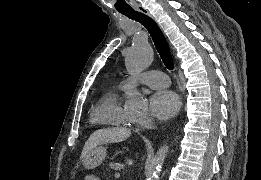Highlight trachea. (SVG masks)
<instances>
[{
  "instance_id": "1",
  "label": "trachea",
  "mask_w": 261,
  "mask_h": 180,
  "mask_svg": "<svg viewBox=\"0 0 261 180\" xmlns=\"http://www.w3.org/2000/svg\"><path fill=\"white\" fill-rule=\"evenodd\" d=\"M120 13L130 18L131 20H135L136 22L141 23V25H143L148 30L164 65L168 68V70H173L174 62L169 44L157 23L152 20L150 16L148 17V15H145V13H141L140 11L137 12L133 9L121 11Z\"/></svg>"
}]
</instances>
